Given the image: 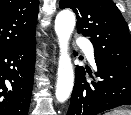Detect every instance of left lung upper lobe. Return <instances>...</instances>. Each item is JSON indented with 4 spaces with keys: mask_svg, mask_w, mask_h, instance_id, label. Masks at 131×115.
Segmentation results:
<instances>
[{
    "mask_svg": "<svg viewBox=\"0 0 131 115\" xmlns=\"http://www.w3.org/2000/svg\"><path fill=\"white\" fill-rule=\"evenodd\" d=\"M60 8L75 12L77 32L90 37L96 58L131 73V36L112 0H60Z\"/></svg>",
    "mask_w": 131,
    "mask_h": 115,
    "instance_id": "5c2ea615",
    "label": "left lung upper lobe"
}]
</instances>
